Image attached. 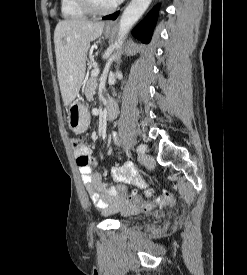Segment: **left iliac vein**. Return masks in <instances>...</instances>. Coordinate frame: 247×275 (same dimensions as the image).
Returning a JSON list of instances; mask_svg holds the SVG:
<instances>
[{"label": "left iliac vein", "instance_id": "left-iliac-vein-1", "mask_svg": "<svg viewBox=\"0 0 247 275\" xmlns=\"http://www.w3.org/2000/svg\"><path fill=\"white\" fill-rule=\"evenodd\" d=\"M138 159L141 164H143L145 167H147L149 169H152L155 167L154 158L150 155H146L145 152H140Z\"/></svg>", "mask_w": 247, "mask_h": 275}]
</instances>
